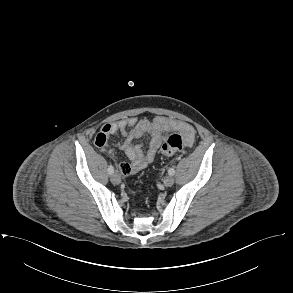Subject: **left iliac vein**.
<instances>
[{"label":"left iliac vein","instance_id":"obj_1","mask_svg":"<svg viewBox=\"0 0 293 293\" xmlns=\"http://www.w3.org/2000/svg\"><path fill=\"white\" fill-rule=\"evenodd\" d=\"M166 186H172L174 184V178L171 175H168L163 180Z\"/></svg>","mask_w":293,"mask_h":293}]
</instances>
